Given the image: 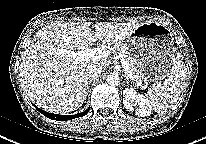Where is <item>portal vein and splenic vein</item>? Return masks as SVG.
<instances>
[{"label":"portal vein and splenic vein","instance_id":"portal-vein-and-splenic-vein-1","mask_svg":"<svg viewBox=\"0 0 206 144\" xmlns=\"http://www.w3.org/2000/svg\"><path fill=\"white\" fill-rule=\"evenodd\" d=\"M61 52L63 54H68L69 56L73 57L76 62L79 61H88V60H100L109 56V50L105 48H95L91 49L89 47L83 48L81 51L75 52L71 50L62 49ZM121 64L125 69V74L131 79L136 80V76L129 71V66L127 61L121 57Z\"/></svg>","mask_w":206,"mask_h":144}]
</instances>
